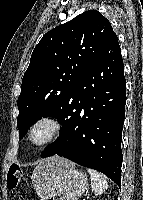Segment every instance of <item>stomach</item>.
<instances>
[{
    "label": "stomach",
    "instance_id": "stomach-1",
    "mask_svg": "<svg viewBox=\"0 0 143 200\" xmlns=\"http://www.w3.org/2000/svg\"><path fill=\"white\" fill-rule=\"evenodd\" d=\"M86 173L74 166H64L55 172L40 200H78L87 189Z\"/></svg>",
    "mask_w": 143,
    "mask_h": 200
}]
</instances>
